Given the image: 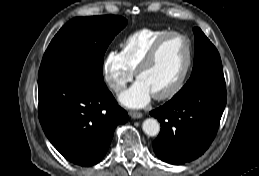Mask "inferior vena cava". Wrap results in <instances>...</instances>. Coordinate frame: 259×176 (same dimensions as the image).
Returning a JSON list of instances; mask_svg holds the SVG:
<instances>
[{"instance_id": "obj_1", "label": "inferior vena cava", "mask_w": 259, "mask_h": 176, "mask_svg": "<svg viewBox=\"0 0 259 176\" xmlns=\"http://www.w3.org/2000/svg\"><path fill=\"white\" fill-rule=\"evenodd\" d=\"M122 89H123V86H121V85H115V90H116L117 92L121 91Z\"/></svg>"}]
</instances>
